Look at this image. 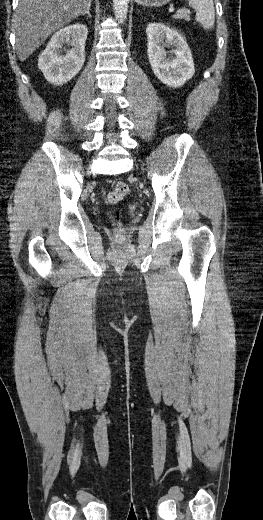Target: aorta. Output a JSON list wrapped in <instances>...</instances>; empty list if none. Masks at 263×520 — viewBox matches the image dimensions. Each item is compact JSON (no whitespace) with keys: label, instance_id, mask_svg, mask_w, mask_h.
Instances as JSON below:
<instances>
[{"label":"aorta","instance_id":"aorta-1","mask_svg":"<svg viewBox=\"0 0 263 520\" xmlns=\"http://www.w3.org/2000/svg\"><path fill=\"white\" fill-rule=\"evenodd\" d=\"M129 0H113V8L116 19L123 23L127 18Z\"/></svg>","mask_w":263,"mask_h":520}]
</instances>
